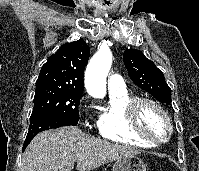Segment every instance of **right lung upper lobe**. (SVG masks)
Masks as SVG:
<instances>
[{
  "label": "right lung upper lobe",
  "mask_w": 199,
  "mask_h": 171,
  "mask_svg": "<svg viewBox=\"0 0 199 171\" xmlns=\"http://www.w3.org/2000/svg\"><path fill=\"white\" fill-rule=\"evenodd\" d=\"M90 48L82 39L62 45L42 66L36 86H57L83 92V72Z\"/></svg>",
  "instance_id": "cb5924a9"
}]
</instances>
